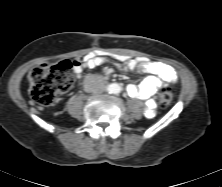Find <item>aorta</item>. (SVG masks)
I'll return each instance as SVG.
<instances>
[{
    "label": "aorta",
    "instance_id": "obj_1",
    "mask_svg": "<svg viewBox=\"0 0 222 187\" xmlns=\"http://www.w3.org/2000/svg\"><path fill=\"white\" fill-rule=\"evenodd\" d=\"M110 93H113V94H117V93H119L120 91H121V87L118 85V84H112L111 86H110Z\"/></svg>",
    "mask_w": 222,
    "mask_h": 187
}]
</instances>
